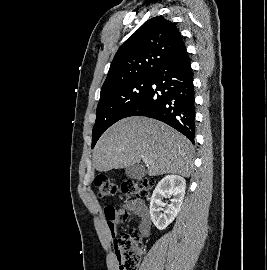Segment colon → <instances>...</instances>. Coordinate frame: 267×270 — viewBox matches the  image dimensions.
I'll use <instances>...</instances> for the list:
<instances>
[{"instance_id":"5ec220e1","label":"colon","mask_w":267,"mask_h":270,"mask_svg":"<svg viewBox=\"0 0 267 270\" xmlns=\"http://www.w3.org/2000/svg\"><path fill=\"white\" fill-rule=\"evenodd\" d=\"M94 187L99 199L109 200L118 193L126 197L146 195L151 187V182L146 178H142L136 181H126L119 187L108 177L97 176L94 179ZM108 209L112 212L111 206ZM140 241V234L136 230L114 236L115 253L120 270H137L142 254Z\"/></svg>"}]
</instances>
